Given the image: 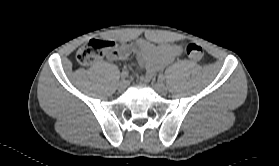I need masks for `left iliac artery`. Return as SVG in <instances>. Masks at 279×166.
I'll return each instance as SVG.
<instances>
[{
  "label": "left iliac artery",
  "instance_id": "obj_1",
  "mask_svg": "<svg viewBox=\"0 0 279 166\" xmlns=\"http://www.w3.org/2000/svg\"><path fill=\"white\" fill-rule=\"evenodd\" d=\"M159 80H160V81H164V80H165V76H164V75H162V74H161V75H159Z\"/></svg>",
  "mask_w": 279,
  "mask_h": 166
}]
</instances>
